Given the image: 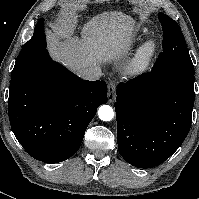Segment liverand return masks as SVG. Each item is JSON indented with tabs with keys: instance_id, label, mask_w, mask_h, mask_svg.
<instances>
[{
	"instance_id": "6515ba94",
	"label": "liver",
	"mask_w": 199,
	"mask_h": 199,
	"mask_svg": "<svg viewBox=\"0 0 199 199\" xmlns=\"http://www.w3.org/2000/svg\"><path fill=\"white\" fill-rule=\"evenodd\" d=\"M134 23L122 12H104L89 20L82 29V39L66 35L51 38L49 51L53 58L79 73L82 68L115 60L127 53Z\"/></svg>"
}]
</instances>
